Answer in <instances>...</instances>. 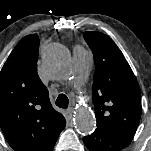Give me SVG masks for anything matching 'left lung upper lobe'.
<instances>
[{
    "label": "left lung upper lobe",
    "mask_w": 151,
    "mask_h": 151,
    "mask_svg": "<svg viewBox=\"0 0 151 151\" xmlns=\"http://www.w3.org/2000/svg\"><path fill=\"white\" fill-rule=\"evenodd\" d=\"M94 54L92 100L97 129L133 138L141 117L140 88L128 62L112 39L84 32Z\"/></svg>",
    "instance_id": "left-lung-upper-lobe-1"
}]
</instances>
